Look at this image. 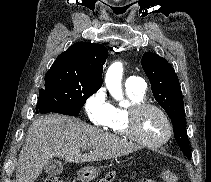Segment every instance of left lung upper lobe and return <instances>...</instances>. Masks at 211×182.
Returning a JSON list of instances; mask_svg holds the SVG:
<instances>
[{
    "instance_id": "1",
    "label": "left lung upper lobe",
    "mask_w": 211,
    "mask_h": 182,
    "mask_svg": "<svg viewBox=\"0 0 211 182\" xmlns=\"http://www.w3.org/2000/svg\"><path fill=\"white\" fill-rule=\"evenodd\" d=\"M142 68L151 83L154 98L172 120L177 144L182 152L191 159L183 96L174 68L166 59L152 52L143 54Z\"/></svg>"
}]
</instances>
